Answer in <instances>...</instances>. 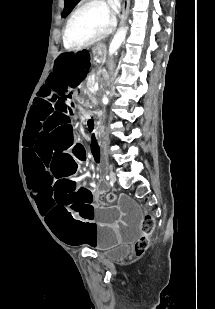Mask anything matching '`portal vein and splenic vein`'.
Segmentation results:
<instances>
[{
	"instance_id": "1",
	"label": "portal vein and splenic vein",
	"mask_w": 215,
	"mask_h": 309,
	"mask_svg": "<svg viewBox=\"0 0 215 309\" xmlns=\"http://www.w3.org/2000/svg\"><path fill=\"white\" fill-rule=\"evenodd\" d=\"M97 88H98V84H95L94 90H97ZM94 90H93V92H94Z\"/></svg>"
}]
</instances>
